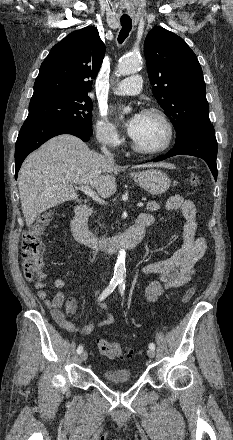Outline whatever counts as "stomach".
I'll return each mask as SVG.
<instances>
[{"mask_svg": "<svg viewBox=\"0 0 233 440\" xmlns=\"http://www.w3.org/2000/svg\"><path fill=\"white\" fill-rule=\"evenodd\" d=\"M133 180L151 195L165 193L171 184L169 176L158 169H147L131 174Z\"/></svg>", "mask_w": 233, "mask_h": 440, "instance_id": "0dacf381", "label": "stomach"}]
</instances>
